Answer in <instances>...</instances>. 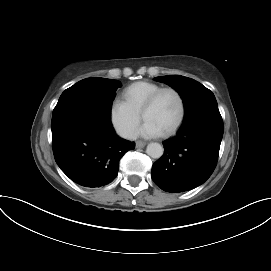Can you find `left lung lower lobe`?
<instances>
[{
	"mask_svg": "<svg viewBox=\"0 0 271 271\" xmlns=\"http://www.w3.org/2000/svg\"><path fill=\"white\" fill-rule=\"evenodd\" d=\"M223 136L219 111L198 113L184 121L177 135L163 143L164 154L152 166L155 184L166 192H184L213 173Z\"/></svg>",
	"mask_w": 271,
	"mask_h": 271,
	"instance_id": "obj_1",
	"label": "left lung lower lobe"
}]
</instances>
